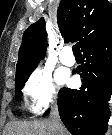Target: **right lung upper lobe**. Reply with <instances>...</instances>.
Segmentation results:
<instances>
[{
    "label": "right lung upper lobe",
    "instance_id": "1",
    "mask_svg": "<svg viewBox=\"0 0 112 135\" xmlns=\"http://www.w3.org/2000/svg\"><path fill=\"white\" fill-rule=\"evenodd\" d=\"M57 23L65 41H79L83 49L112 35V3L108 0H61ZM46 45L45 21L40 18L23 34L15 77L32 73Z\"/></svg>",
    "mask_w": 112,
    "mask_h": 135
}]
</instances>
